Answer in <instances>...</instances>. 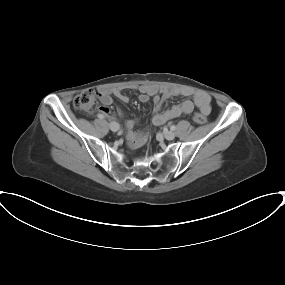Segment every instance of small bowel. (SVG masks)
I'll use <instances>...</instances> for the list:
<instances>
[{"label":"small bowel","mask_w":285,"mask_h":285,"mask_svg":"<svg viewBox=\"0 0 285 285\" xmlns=\"http://www.w3.org/2000/svg\"><path fill=\"white\" fill-rule=\"evenodd\" d=\"M138 90V99L142 103L147 102L150 97H153L154 115L152 121L155 125H162L171 119L190 114L193 111L194 106H197L205 115L209 114L211 111V98L205 93H195L192 100H184L179 104L174 105L170 109L161 112L160 109L163 102L181 94L179 90L171 88H159L155 85H141L138 87ZM99 93L100 100L103 104V107L100 108V112L108 118L113 117L112 112L108 108V106L113 102L112 95L124 103L129 101L128 96L120 87L102 88L99 90ZM118 113L120 115L122 114L121 108L118 109ZM136 123L137 119H131L125 123L128 143L134 148L142 146L148 137L146 132L132 131V128L136 125Z\"/></svg>","instance_id":"small-bowel-1"}]
</instances>
